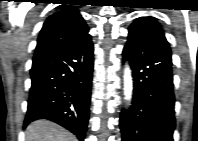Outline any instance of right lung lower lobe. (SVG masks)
<instances>
[{
  "label": "right lung lower lobe",
  "instance_id": "obj_1",
  "mask_svg": "<svg viewBox=\"0 0 198 141\" xmlns=\"http://www.w3.org/2000/svg\"><path fill=\"white\" fill-rule=\"evenodd\" d=\"M92 72L93 44L88 32L34 56L24 126L37 119H49L83 141L89 120Z\"/></svg>",
  "mask_w": 198,
  "mask_h": 141
}]
</instances>
